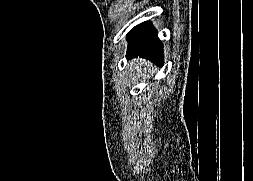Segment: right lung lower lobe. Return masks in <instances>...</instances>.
Instances as JSON below:
<instances>
[{
    "instance_id": "obj_1",
    "label": "right lung lower lobe",
    "mask_w": 253,
    "mask_h": 181,
    "mask_svg": "<svg viewBox=\"0 0 253 181\" xmlns=\"http://www.w3.org/2000/svg\"><path fill=\"white\" fill-rule=\"evenodd\" d=\"M129 42L127 58L143 57L163 65V45L151 23L144 22L135 26L127 35Z\"/></svg>"
}]
</instances>
